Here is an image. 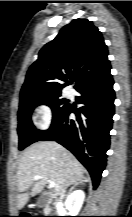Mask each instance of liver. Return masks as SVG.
<instances>
[{
  "label": "liver",
  "mask_w": 132,
  "mask_h": 217,
  "mask_svg": "<svg viewBox=\"0 0 132 217\" xmlns=\"http://www.w3.org/2000/svg\"><path fill=\"white\" fill-rule=\"evenodd\" d=\"M85 168L75 156L56 142H38L22 154L17 171V209L21 210L44 188L46 178L55 182L54 192L59 195L67 186L83 179ZM36 175L46 178L35 179ZM30 190V192H29Z\"/></svg>",
  "instance_id": "6515ba94"
}]
</instances>
